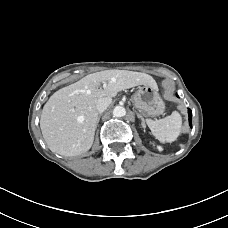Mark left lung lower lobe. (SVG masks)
Wrapping results in <instances>:
<instances>
[{"label":"left lung lower lobe","mask_w":228,"mask_h":228,"mask_svg":"<svg viewBox=\"0 0 228 228\" xmlns=\"http://www.w3.org/2000/svg\"><path fill=\"white\" fill-rule=\"evenodd\" d=\"M188 114H189V122H190L189 124L192 125V123H191V120H192V111L190 109L188 110Z\"/></svg>","instance_id":"left-lung-lower-lobe-1"}]
</instances>
